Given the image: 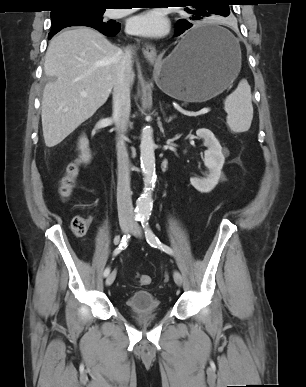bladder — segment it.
Listing matches in <instances>:
<instances>
[{
  "label": "bladder",
  "mask_w": 306,
  "mask_h": 387,
  "mask_svg": "<svg viewBox=\"0 0 306 387\" xmlns=\"http://www.w3.org/2000/svg\"><path fill=\"white\" fill-rule=\"evenodd\" d=\"M125 307L132 315L153 314L163 312L161 301L149 291H136L125 300Z\"/></svg>",
  "instance_id": "obj_1"
}]
</instances>
